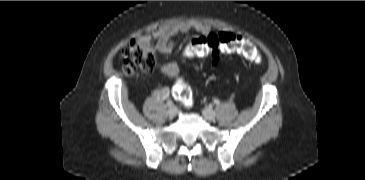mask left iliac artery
<instances>
[{"label":"left iliac artery","instance_id":"obj_1","mask_svg":"<svg viewBox=\"0 0 365 180\" xmlns=\"http://www.w3.org/2000/svg\"><path fill=\"white\" fill-rule=\"evenodd\" d=\"M214 103H215L216 105H219V104H220V101H219L218 99H215V100H214Z\"/></svg>","mask_w":365,"mask_h":180}]
</instances>
